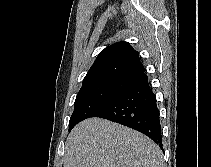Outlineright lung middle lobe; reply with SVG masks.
Instances as JSON below:
<instances>
[{
    "instance_id": "obj_1",
    "label": "right lung middle lobe",
    "mask_w": 211,
    "mask_h": 167,
    "mask_svg": "<svg viewBox=\"0 0 211 167\" xmlns=\"http://www.w3.org/2000/svg\"><path fill=\"white\" fill-rule=\"evenodd\" d=\"M131 84V79L119 78L100 79L83 84L74 102L69 131L80 121L93 117L123 94Z\"/></svg>"
}]
</instances>
